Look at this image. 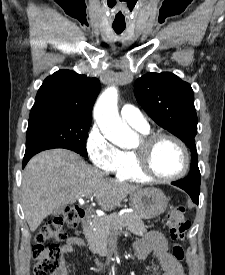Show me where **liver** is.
I'll return each mask as SVG.
<instances>
[{
    "mask_svg": "<svg viewBox=\"0 0 225 275\" xmlns=\"http://www.w3.org/2000/svg\"><path fill=\"white\" fill-rule=\"evenodd\" d=\"M141 187L106 178L80 155L51 149L35 155L23 172L22 207L30 230L61 206L94 195L102 210L117 208L128 194Z\"/></svg>",
    "mask_w": 225,
    "mask_h": 275,
    "instance_id": "obj_1",
    "label": "liver"
}]
</instances>
